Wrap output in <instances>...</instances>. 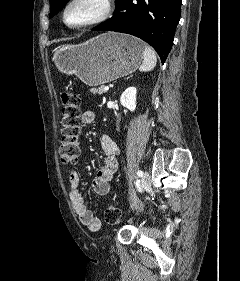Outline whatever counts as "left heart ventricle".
<instances>
[{"label": "left heart ventricle", "instance_id": "1", "mask_svg": "<svg viewBox=\"0 0 240 281\" xmlns=\"http://www.w3.org/2000/svg\"><path fill=\"white\" fill-rule=\"evenodd\" d=\"M100 0H79L68 11L66 19L69 24H78L94 17L100 10Z\"/></svg>", "mask_w": 240, "mask_h": 281}]
</instances>
